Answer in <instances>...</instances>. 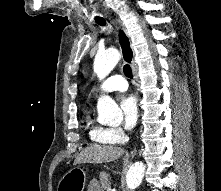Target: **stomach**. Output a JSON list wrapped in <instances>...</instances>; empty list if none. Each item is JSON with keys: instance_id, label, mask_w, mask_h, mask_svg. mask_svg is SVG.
<instances>
[{"instance_id": "obj_1", "label": "stomach", "mask_w": 221, "mask_h": 191, "mask_svg": "<svg viewBox=\"0 0 221 191\" xmlns=\"http://www.w3.org/2000/svg\"><path fill=\"white\" fill-rule=\"evenodd\" d=\"M85 184L86 172L80 167H74L61 178L57 191H83Z\"/></svg>"}]
</instances>
